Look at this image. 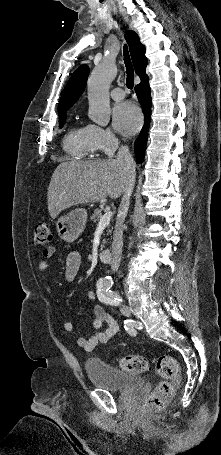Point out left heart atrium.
<instances>
[{
  "instance_id": "obj_1",
  "label": "left heart atrium",
  "mask_w": 221,
  "mask_h": 455,
  "mask_svg": "<svg viewBox=\"0 0 221 455\" xmlns=\"http://www.w3.org/2000/svg\"><path fill=\"white\" fill-rule=\"evenodd\" d=\"M113 125L121 134L131 136L142 124V114L132 102L117 104L112 113Z\"/></svg>"
}]
</instances>
